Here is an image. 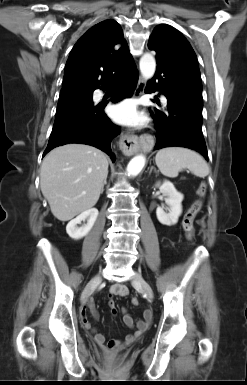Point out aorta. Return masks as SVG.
<instances>
[{
    "label": "aorta",
    "instance_id": "1",
    "mask_svg": "<svg viewBox=\"0 0 247 385\" xmlns=\"http://www.w3.org/2000/svg\"><path fill=\"white\" fill-rule=\"evenodd\" d=\"M139 66L142 76L145 79H150L153 77L156 70L155 58L150 53H145L140 58ZM145 160L146 159L144 155H137L132 158L127 166L128 175H138L145 165Z\"/></svg>",
    "mask_w": 247,
    "mask_h": 385
}]
</instances>
